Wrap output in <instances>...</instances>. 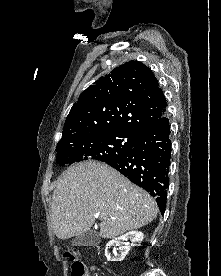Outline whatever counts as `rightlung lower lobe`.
Returning a JSON list of instances; mask_svg holds the SVG:
<instances>
[{
  "mask_svg": "<svg viewBox=\"0 0 221 276\" xmlns=\"http://www.w3.org/2000/svg\"><path fill=\"white\" fill-rule=\"evenodd\" d=\"M170 125L166 116L135 136L129 151L106 163L156 198L163 214L166 208L171 156Z\"/></svg>",
  "mask_w": 221,
  "mask_h": 276,
  "instance_id": "obj_1",
  "label": "right lung lower lobe"
}]
</instances>
